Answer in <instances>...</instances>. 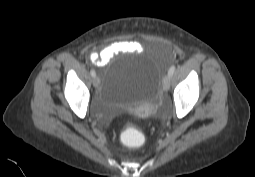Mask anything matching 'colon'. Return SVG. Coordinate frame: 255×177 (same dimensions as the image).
I'll list each match as a JSON object with an SVG mask.
<instances>
[{
    "label": "colon",
    "instance_id": "obj_1",
    "mask_svg": "<svg viewBox=\"0 0 255 177\" xmlns=\"http://www.w3.org/2000/svg\"><path fill=\"white\" fill-rule=\"evenodd\" d=\"M121 141L130 148H137L143 141L142 134L135 129H127L121 135Z\"/></svg>",
    "mask_w": 255,
    "mask_h": 177
}]
</instances>
